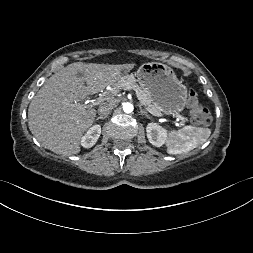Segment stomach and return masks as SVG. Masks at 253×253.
<instances>
[{
	"label": "stomach",
	"instance_id": "1",
	"mask_svg": "<svg viewBox=\"0 0 253 253\" xmlns=\"http://www.w3.org/2000/svg\"><path fill=\"white\" fill-rule=\"evenodd\" d=\"M135 75L140 87L159 111L174 116L184 110L187 88L171 67L158 62L144 63Z\"/></svg>",
	"mask_w": 253,
	"mask_h": 253
}]
</instances>
